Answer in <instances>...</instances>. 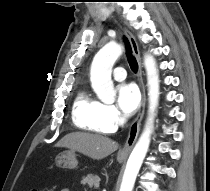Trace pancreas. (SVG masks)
Returning a JSON list of instances; mask_svg holds the SVG:
<instances>
[{
  "label": "pancreas",
  "instance_id": "cf45deb5",
  "mask_svg": "<svg viewBox=\"0 0 210 191\" xmlns=\"http://www.w3.org/2000/svg\"><path fill=\"white\" fill-rule=\"evenodd\" d=\"M81 183L91 189H97L99 188L100 178L97 175L88 174L86 177L82 178Z\"/></svg>",
  "mask_w": 210,
  "mask_h": 191
}]
</instances>
